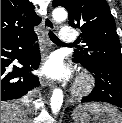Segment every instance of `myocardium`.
<instances>
[{"label": "myocardium", "instance_id": "f54148a6", "mask_svg": "<svg viewBox=\"0 0 122 123\" xmlns=\"http://www.w3.org/2000/svg\"><path fill=\"white\" fill-rule=\"evenodd\" d=\"M94 84V77L88 72H82L74 83L73 93L76 96H83L93 89Z\"/></svg>", "mask_w": 122, "mask_h": 123}]
</instances>
